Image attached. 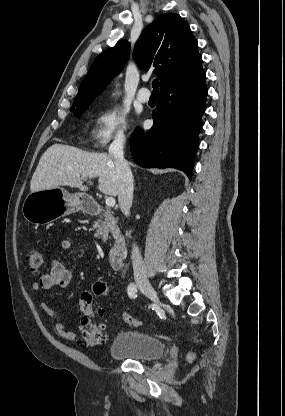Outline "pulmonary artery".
<instances>
[{"instance_id":"pulmonary-artery-1","label":"pulmonary artery","mask_w":285,"mask_h":416,"mask_svg":"<svg viewBox=\"0 0 285 416\" xmlns=\"http://www.w3.org/2000/svg\"><path fill=\"white\" fill-rule=\"evenodd\" d=\"M137 98L139 101L145 103L150 99L149 90L147 87H140L138 90Z\"/></svg>"}]
</instances>
